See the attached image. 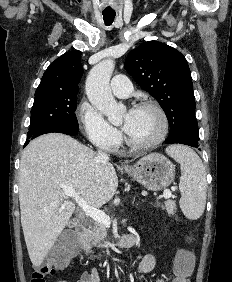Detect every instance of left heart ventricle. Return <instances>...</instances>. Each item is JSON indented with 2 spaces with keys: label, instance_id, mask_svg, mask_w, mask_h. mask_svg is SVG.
I'll use <instances>...</instances> for the list:
<instances>
[{
  "label": "left heart ventricle",
  "instance_id": "left-heart-ventricle-1",
  "mask_svg": "<svg viewBox=\"0 0 232 282\" xmlns=\"http://www.w3.org/2000/svg\"><path fill=\"white\" fill-rule=\"evenodd\" d=\"M128 113L123 116L122 123H126ZM161 130V120L158 114L148 108H137L130 121L126 134L137 143H146L155 139Z\"/></svg>",
  "mask_w": 232,
  "mask_h": 282
}]
</instances>
